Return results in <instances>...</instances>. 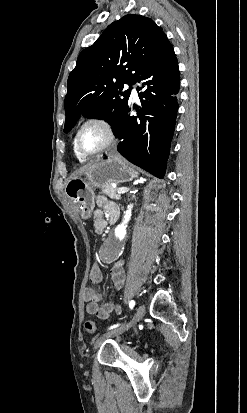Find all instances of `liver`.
I'll return each instance as SVG.
<instances>
[{
	"instance_id": "6515ba94",
	"label": "liver",
	"mask_w": 247,
	"mask_h": 413,
	"mask_svg": "<svg viewBox=\"0 0 247 413\" xmlns=\"http://www.w3.org/2000/svg\"><path fill=\"white\" fill-rule=\"evenodd\" d=\"M92 164H84V166H80V168H77V170H74L72 174H70V178H77L79 174H83V172H86V170H89L91 168Z\"/></svg>"
}]
</instances>
